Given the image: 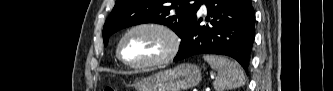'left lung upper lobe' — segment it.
Wrapping results in <instances>:
<instances>
[{"label": "left lung upper lobe", "mask_w": 333, "mask_h": 91, "mask_svg": "<svg viewBox=\"0 0 333 91\" xmlns=\"http://www.w3.org/2000/svg\"><path fill=\"white\" fill-rule=\"evenodd\" d=\"M202 0H116L103 28L104 45L120 29L141 23H159L170 27L179 37Z\"/></svg>", "instance_id": "1"}]
</instances>
